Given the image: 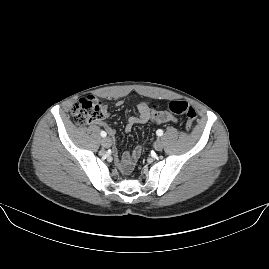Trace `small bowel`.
Instances as JSON below:
<instances>
[{"instance_id":"obj_1","label":"small bowel","mask_w":269,"mask_h":269,"mask_svg":"<svg viewBox=\"0 0 269 269\" xmlns=\"http://www.w3.org/2000/svg\"><path fill=\"white\" fill-rule=\"evenodd\" d=\"M107 117L108 112L105 109L103 119L97 121L96 124L101 128H103L110 137H114L116 135V131L106 122ZM176 122L177 119L171 113L166 111L156 112L150 108L148 102H141L138 105V115L129 118L125 130L129 132L133 127V125L135 124H146V123L161 124V123H176ZM141 153L142 149L140 147L136 148L133 151L132 157H130L129 153H124L119 160L120 168H122V166L127 162H133L134 160H137L140 157Z\"/></svg>"}]
</instances>
